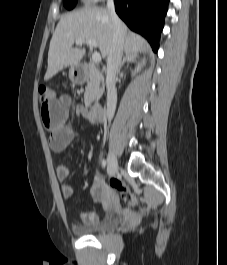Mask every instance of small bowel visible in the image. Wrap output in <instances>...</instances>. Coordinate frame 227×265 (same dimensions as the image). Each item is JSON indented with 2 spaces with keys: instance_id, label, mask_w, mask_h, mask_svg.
<instances>
[{
  "instance_id": "c3829d8e",
  "label": "small bowel",
  "mask_w": 227,
  "mask_h": 265,
  "mask_svg": "<svg viewBox=\"0 0 227 265\" xmlns=\"http://www.w3.org/2000/svg\"><path fill=\"white\" fill-rule=\"evenodd\" d=\"M68 104H76V99H52L50 102H41L40 117L49 131V145L52 151L60 153L73 141L75 133L67 124L69 115ZM77 115L89 119L93 124L97 121L92 118L86 108L82 105L75 107ZM57 179L60 183L62 196L71 199L74 195L73 188L68 182L69 168L60 164L56 169ZM92 198L102 204L105 209L109 208L110 196L104 190V184L99 174L95 175L91 186ZM80 219L85 225H95L100 218L97 213L85 211L80 213Z\"/></svg>"
}]
</instances>
